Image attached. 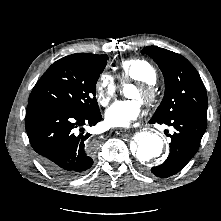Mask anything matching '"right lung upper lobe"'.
I'll use <instances>...</instances> for the list:
<instances>
[{
  "label": "right lung upper lobe",
  "instance_id": "right-lung-upper-lobe-1",
  "mask_svg": "<svg viewBox=\"0 0 221 221\" xmlns=\"http://www.w3.org/2000/svg\"><path fill=\"white\" fill-rule=\"evenodd\" d=\"M75 55H78V56H95L94 54H88V53H78V54H75Z\"/></svg>",
  "mask_w": 221,
  "mask_h": 221
}]
</instances>
